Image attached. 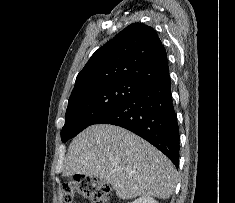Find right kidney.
Listing matches in <instances>:
<instances>
[{"instance_id": "ca27d5eb", "label": "right kidney", "mask_w": 235, "mask_h": 203, "mask_svg": "<svg viewBox=\"0 0 235 203\" xmlns=\"http://www.w3.org/2000/svg\"><path fill=\"white\" fill-rule=\"evenodd\" d=\"M131 203H159V202L150 196H141L140 198L134 200Z\"/></svg>"}]
</instances>
